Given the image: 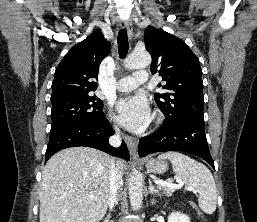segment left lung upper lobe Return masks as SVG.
I'll use <instances>...</instances> for the list:
<instances>
[{
  "instance_id": "obj_1",
  "label": "left lung upper lobe",
  "mask_w": 257,
  "mask_h": 222,
  "mask_svg": "<svg viewBox=\"0 0 257 222\" xmlns=\"http://www.w3.org/2000/svg\"><path fill=\"white\" fill-rule=\"evenodd\" d=\"M146 49L152 56L151 72H159L166 90L156 93L155 101L167 121L203 116V82L199 59L187 44L162 29L145 30Z\"/></svg>"
}]
</instances>
